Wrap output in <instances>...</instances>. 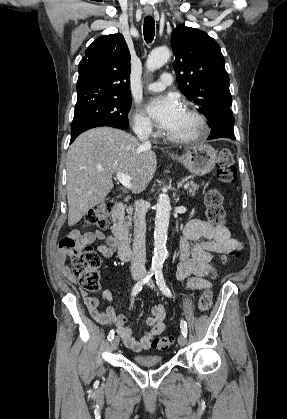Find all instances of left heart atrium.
Returning <instances> with one entry per match:
<instances>
[{"label": "left heart atrium", "mask_w": 287, "mask_h": 419, "mask_svg": "<svg viewBox=\"0 0 287 419\" xmlns=\"http://www.w3.org/2000/svg\"><path fill=\"white\" fill-rule=\"evenodd\" d=\"M146 112L159 128L170 131L179 120L183 108L175 95L167 94L152 98L146 105Z\"/></svg>", "instance_id": "obj_1"}]
</instances>
